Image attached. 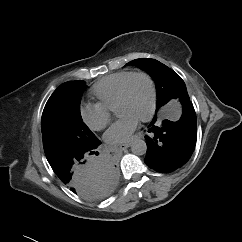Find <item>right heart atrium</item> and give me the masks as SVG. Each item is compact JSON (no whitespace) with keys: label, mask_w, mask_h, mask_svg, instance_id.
Returning <instances> with one entry per match:
<instances>
[{"label":"right heart atrium","mask_w":242,"mask_h":242,"mask_svg":"<svg viewBox=\"0 0 242 242\" xmlns=\"http://www.w3.org/2000/svg\"><path fill=\"white\" fill-rule=\"evenodd\" d=\"M79 115L89 129L99 131L106 127L111 114L99 103H83L79 107Z\"/></svg>","instance_id":"obj_1"}]
</instances>
